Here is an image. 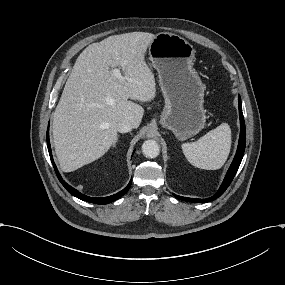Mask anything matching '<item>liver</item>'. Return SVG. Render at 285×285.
<instances>
[{
  "instance_id": "obj_1",
  "label": "liver",
  "mask_w": 285,
  "mask_h": 285,
  "mask_svg": "<svg viewBox=\"0 0 285 285\" xmlns=\"http://www.w3.org/2000/svg\"><path fill=\"white\" fill-rule=\"evenodd\" d=\"M154 38L147 32L113 35L90 44L78 56L53 114L55 153L62 171H75L102 157L117 141L119 122L139 127L144 109L131 100L147 102L156 96L155 78L145 62ZM116 67L126 80L112 74Z\"/></svg>"
}]
</instances>
